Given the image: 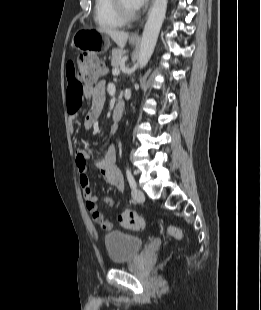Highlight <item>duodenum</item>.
<instances>
[{
	"label": "duodenum",
	"instance_id": "obj_1",
	"mask_svg": "<svg viewBox=\"0 0 261 310\" xmlns=\"http://www.w3.org/2000/svg\"><path fill=\"white\" fill-rule=\"evenodd\" d=\"M123 112H124V103L122 101H119L116 103L113 109V119L119 121L123 115Z\"/></svg>",
	"mask_w": 261,
	"mask_h": 310
}]
</instances>
